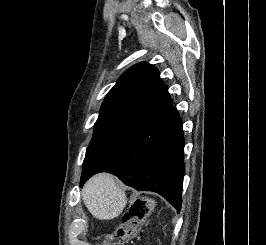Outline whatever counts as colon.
<instances>
[{
    "mask_svg": "<svg viewBox=\"0 0 266 245\" xmlns=\"http://www.w3.org/2000/svg\"><path fill=\"white\" fill-rule=\"evenodd\" d=\"M153 207L149 198H138L126 209L115 230L105 236L108 245H134L133 239Z\"/></svg>",
    "mask_w": 266,
    "mask_h": 245,
    "instance_id": "colon-1",
    "label": "colon"
}]
</instances>
